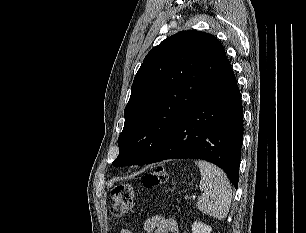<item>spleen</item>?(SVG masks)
<instances>
[{
  "instance_id": "3e777b00",
  "label": "spleen",
  "mask_w": 306,
  "mask_h": 233,
  "mask_svg": "<svg viewBox=\"0 0 306 233\" xmlns=\"http://www.w3.org/2000/svg\"><path fill=\"white\" fill-rule=\"evenodd\" d=\"M195 164L200 169L199 187L203 191L197 207L203 213L223 220L229 212L232 198L229 180L223 170L209 162L197 160Z\"/></svg>"
}]
</instances>
